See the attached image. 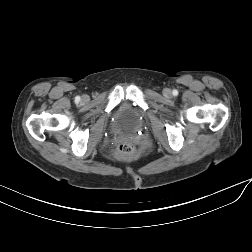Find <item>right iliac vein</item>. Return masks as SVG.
<instances>
[{"instance_id": "obj_1", "label": "right iliac vein", "mask_w": 252, "mask_h": 252, "mask_svg": "<svg viewBox=\"0 0 252 252\" xmlns=\"http://www.w3.org/2000/svg\"><path fill=\"white\" fill-rule=\"evenodd\" d=\"M83 99L86 100V97L84 96Z\"/></svg>"}]
</instances>
